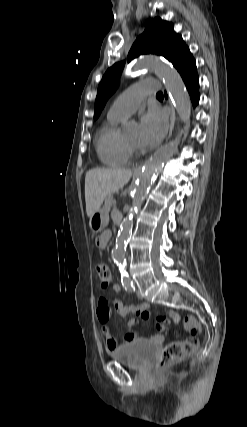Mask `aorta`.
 <instances>
[{
  "mask_svg": "<svg viewBox=\"0 0 247 427\" xmlns=\"http://www.w3.org/2000/svg\"><path fill=\"white\" fill-rule=\"evenodd\" d=\"M145 69L154 70L156 75L163 79L181 120L186 123L189 119L191 103L180 74L172 66L153 56L139 58L134 62L131 70L132 72H141ZM124 130L125 132H131V125L126 124ZM181 135L182 133L168 145L159 149L153 155L152 159L143 166L137 185L132 193V205L128 210L127 216L120 225L116 246L111 252L112 258L121 270L125 267V251L127 241L132 233L133 217L147 196L154 177L160 172L164 163L177 152Z\"/></svg>",
  "mask_w": 247,
  "mask_h": 427,
  "instance_id": "obj_1",
  "label": "aorta"
}]
</instances>
